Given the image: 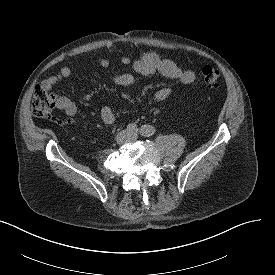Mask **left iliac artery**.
<instances>
[{
	"label": "left iliac artery",
	"instance_id": "left-iliac-artery-1",
	"mask_svg": "<svg viewBox=\"0 0 275 275\" xmlns=\"http://www.w3.org/2000/svg\"><path fill=\"white\" fill-rule=\"evenodd\" d=\"M139 132L142 136L149 137L154 135L155 128L151 125H144L139 129Z\"/></svg>",
	"mask_w": 275,
	"mask_h": 275
}]
</instances>
